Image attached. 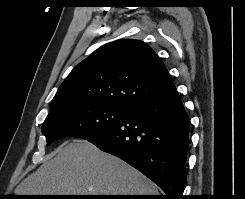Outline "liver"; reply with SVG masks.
I'll return each mask as SVG.
<instances>
[{
  "label": "liver",
  "mask_w": 245,
  "mask_h": 199,
  "mask_svg": "<svg viewBox=\"0 0 245 199\" xmlns=\"http://www.w3.org/2000/svg\"><path fill=\"white\" fill-rule=\"evenodd\" d=\"M16 195H158L148 178L84 139H75L25 178Z\"/></svg>",
  "instance_id": "liver-1"
}]
</instances>
